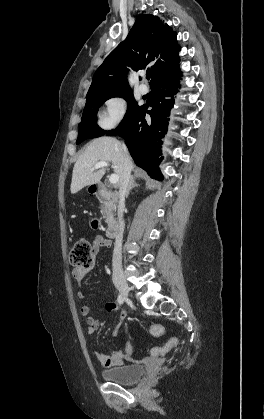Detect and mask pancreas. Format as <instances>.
<instances>
[{
	"instance_id": "cf45deb5",
	"label": "pancreas",
	"mask_w": 264,
	"mask_h": 419,
	"mask_svg": "<svg viewBox=\"0 0 264 419\" xmlns=\"http://www.w3.org/2000/svg\"><path fill=\"white\" fill-rule=\"evenodd\" d=\"M115 209V206L111 203V202H104V204L101 205L100 207V211L101 213L104 215V217L106 218V220L108 221L110 216H111V212Z\"/></svg>"
}]
</instances>
